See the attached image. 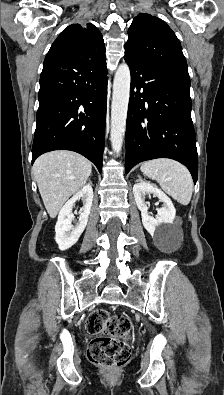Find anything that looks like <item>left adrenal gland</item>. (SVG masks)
I'll use <instances>...</instances> for the list:
<instances>
[{"mask_svg": "<svg viewBox=\"0 0 224 395\" xmlns=\"http://www.w3.org/2000/svg\"><path fill=\"white\" fill-rule=\"evenodd\" d=\"M137 177H138V180H142L140 175H138Z\"/></svg>", "mask_w": 224, "mask_h": 395, "instance_id": "1", "label": "left adrenal gland"}]
</instances>
